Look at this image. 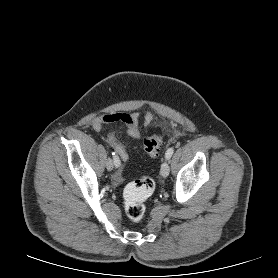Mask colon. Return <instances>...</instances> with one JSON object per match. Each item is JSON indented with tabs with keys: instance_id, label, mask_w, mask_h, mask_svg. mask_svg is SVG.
Listing matches in <instances>:
<instances>
[{
	"instance_id": "1",
	"label": "colon",
	"mask_w": 278,
	"mask_h": 278,
	"mask_svg": "<svg viewBox=\"0 0 278 278\" xmlns=\"http://www.w3.org/2000/svg\"><path fill=\"white\" fill-rule=\"evenodd\" d=\"M162 146V138L153 135L144 141V150L151 157H156ZM155 182L148 176H141L128 184L124 190L125 211L130 220L139 222L143 219L146 200L152 195Z\"/></svg>"
}]
</instances>
